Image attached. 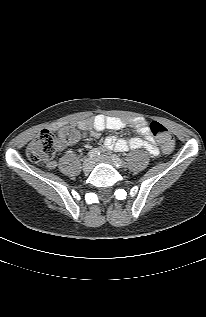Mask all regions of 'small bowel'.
Segmentation results:
<instances>
[{
	"instance_id": "obj_1",
	"label": "small bowel",
	"mask_w": 206,
	"mask_h": 317,
	"mask_svg": "<svg viewBox=\"0 0 206 317\" xmlns=\"http://www.w3.org/2000/svg\"><path fill=\"white\" fill-rule=\"evenodd\" d=\"M127 126L135 128L145 138L142 139L139 137H133L128 139H119L115 136H108L104 142L105 147L117 152H125L129 149H144L152 156L159 154V149L155 145L148 122L143 118L134 119L127 124L125 121L117 117L97 115L90 119L73 122L70 127L74 129L77 128L82 131H88L93 137L98 138L103 130H120ZM72 142L60 140L57 144V149L62 150ZM48 166L54 167L55 163L50 162Z\"/></svg>"
}]
</instances>
